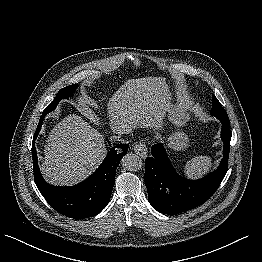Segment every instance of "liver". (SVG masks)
<instances>
[{"instance_id": "6515ba94", "label": "liver", "mask_w": 262, "mask_h": 262, "mask_svg": "<svg viewBox=\"0 0 262 262\" xmlns=\"http://www.w3.org/2000/svg\"><path fill=\"white\" fill-rule=\"evenodd\" d=\"M165 78L127 80L107 103L110 128L127 134L134 128L160 123L169 102ZM40 167L44 178L55 185H73L101 164L107 150L104 137L78 115H68L50 132Z\"/></svg>"}]
</instances>
